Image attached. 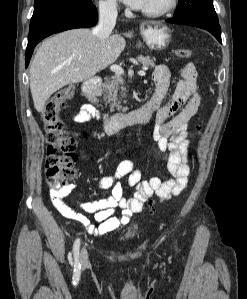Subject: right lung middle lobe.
<instances>
[{"mask_svg": "<svg viewBox=\"0 0 247 299\" xmlns=\"http://www.w3.org/2000/svg\"><path fill=\"white\" fill-rule=\"evenodd\" d=\"M92 5V0H35L30 28L65 11Z\"/></svg>", "mask_w": 247, "mask_h": 299, "instance_id": "right-lung-middle-lobe-1", "label": "right lung middle lobe"}]
</instances>
